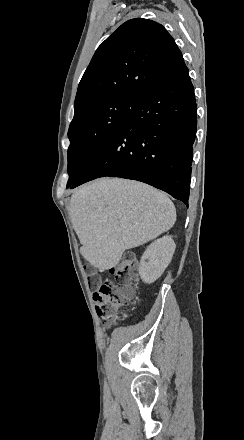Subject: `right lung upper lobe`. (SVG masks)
Returning a JSON list of instances; mask_svg holds the SVG:
<instances>
[{"label": "right lung upper lobe", "mask_w": 244, "mask_h": 440, "mask_svg": "<svg viewBox=\"0 0 244 440\" xmlns=\"http://www.w3.org/2000/svg\"><path fill=\"white\" fill-rule=\"evenodd\" d=\"M182 64L181 51L161 24L131 19L96 50L79 83L74 107L114 96L142 97Z\"/></svg>", "instance_id": "cb5924a9"}]
</instances>
